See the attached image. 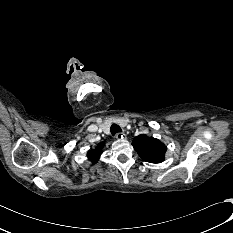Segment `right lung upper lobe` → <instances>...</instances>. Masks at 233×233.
<instances>
[{
  "mask_svg": "<svg viewBox=\"0 0 233 233\" xmlns=\"http://www.w3.org/2000/svg\"><path fill=\"white\" fill-rule=\"evenodd\" d=\"M103 146H104V144H100V145L97 146L96 149L90 150L88 152V154H87L88 158L92 161V163H96L98 161V159H99V157H100V155L102 153L101 150H102Z\"/></svg>",
  "mask_w": 233,
  "mask_h": 233,
  "instance_id": "cb5924a9",
  "label": "right lung upper lobe"
}]
</instances>
